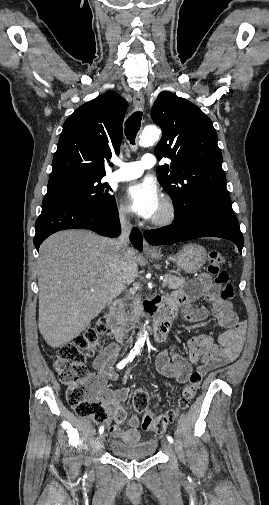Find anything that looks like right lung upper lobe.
Instances as JSON below:
<instances>
[{
    "instance_id": "1",
    "label": "right lung upper lobe",
    "mask_w": 269,
    "mask_h": 505,
    "mask_svg": "<svg viewBox=\"0 0 269 505\" xmlns=\"http://www.w3.org/2000/svg\"><path fill=\"white\" fill-rule=\"evenodd\" d=\"M127 101L106 92L77 108L64 122L48 189L103 178L104 160L119 154Z\"/></svg>"
}]
</instances>
